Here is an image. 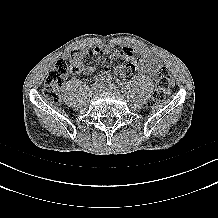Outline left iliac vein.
<instances>
[{
	"label": "left iliac vein",
	"mask_w": 218,
	"mask_h": 218,
	"mask_svg": "<svg viewBox=\"0 0 218 218\" xmlns=\"http://www.w3.org/2000/svg\"><path fill=\"white\" fill-rule=\"evenodd\" d=\"M101 90L103 91H112V92H118L117 86H114L113 84H105L102 85Z\"/></svg>",
	"instance_id": "obj_1"
}]
</instances>
